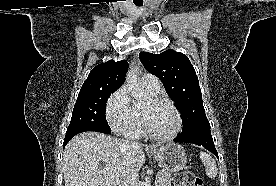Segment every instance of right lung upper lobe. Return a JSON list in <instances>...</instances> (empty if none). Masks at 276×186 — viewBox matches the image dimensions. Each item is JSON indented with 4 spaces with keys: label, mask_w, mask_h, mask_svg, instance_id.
<instances>
[{
    "label": "right lung upper lobe",
    "mask_w": 276,
    "mask_h": 186,
    "mask_svg": "<svg viewBox=\"0 0 276 186\" xmlns=\"http://www.w3.org/2000/svg\"><path fill=\"white\" fill-rule=\"evenodd\" d=\"M128 70L126 60H109L94 67L83 83L81 90H117L124 81Z\"/></svg>",
    "instance_id": "1"
}]
</instances>
